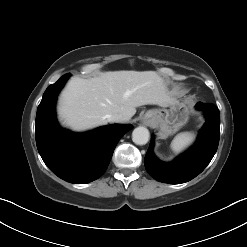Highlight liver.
<instances>
[{"label": "liver", "mask_w": 247, "mask_h": 247, "mask_svg": "<svg viewBox=\"0 0 247 247\" xmlns=\"http://www.w3.org/2000/svg\"><path fill=\"white\" fill-rule=\"evenodd\" d=\"M172 102L155 71H109L91 79L72 78L61 93L58 113L66 126L83 131L107 124L110 114L129 120L139 106Z\"/></svg>", "instance_id": "6515ba94"}]
</instances>
